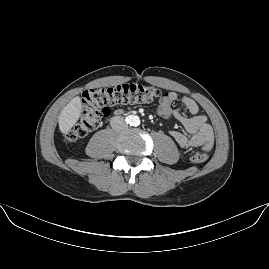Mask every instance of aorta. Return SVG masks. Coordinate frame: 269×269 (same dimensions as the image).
I'll list each match as a JSON object with an SVG mask.
<instances>
[{
    "mask_svg": "<svg viewBox=\"0 0 269 269\" xmlns=\"http://www.w3.org/2000/svg\"><path fill=\"white\" fill-rule=\"evenodd\" d=\"M140 121L139 117L138 116H131V123L132 124H138Z\"/></svg>",
    "mask_w": 269,
    "mask_h": 269,
    "instance_id": "obj_1",
    "label": "aorta"
}]
</instances>
